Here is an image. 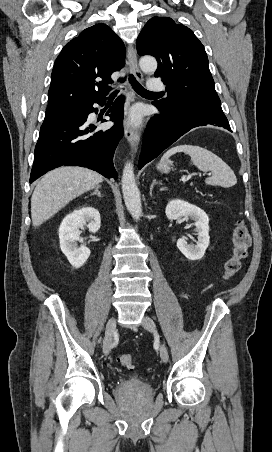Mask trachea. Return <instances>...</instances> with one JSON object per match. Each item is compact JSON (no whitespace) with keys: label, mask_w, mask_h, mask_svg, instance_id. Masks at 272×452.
<instances>
[{"label":"trachea","mask_w":272,"mask_h":452,"mask_svg":"<svg viewBox=\"0 0 272 452\" xmlns=\"http://www.w3.org/2000/svg\"><path fill=\"white\" fill-rule=\"evenodd\" d=\"M129 81L132 85V87L134 88V90L140 94V95H155V94H160V93H155V92H150L148 90H146L136 79L132 74L128 75ZM126 80V77L124 78H120L119 81L120 82H124ZM118 90H115L111 93V97L116 96L118 94Z\"/></svg>","instance_id":"trachea-1"}]
</instances>
